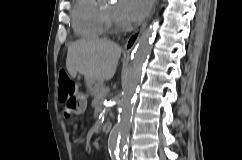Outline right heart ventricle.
Listing matches in <instances>:
<instances>
[{"mask_svg":"<svg viewBox=\"0 0 242 160\" xmlns=\"http://www.w3.org/2000/svg\"><path fill=\"white\" fill-rule=\"evenodd\" d=\"M71 18L73 28L80 37L98 39L104 36L100 7L95 0H74Z\"/></svg>","mask_w":242,"mask_h":160,"instance_id":"e07e8e85","label":"right heart ventricle"}]
</instances>
